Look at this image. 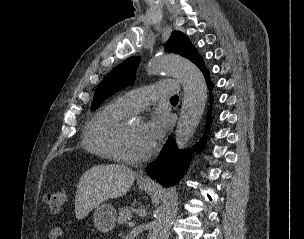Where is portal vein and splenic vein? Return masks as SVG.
I'll use <instances>...</instances> for the list:
<instances>
[{
  "mask_svg": "<svg viewBox=\"0 0 304 239\" xmlns=\"http://www.w3.org/2000/svg\"><path fill=\"white\" fill-rule=\"evenodd\" d=\"M134 225H135L134 221L129 222V226H134Z\"/></svg>",
  "mask_w": 304,
  "mask_h": 239,
  "instance_id": "obj_1",
  "label": "portal vein and splenic vein"
}]
</instances>
